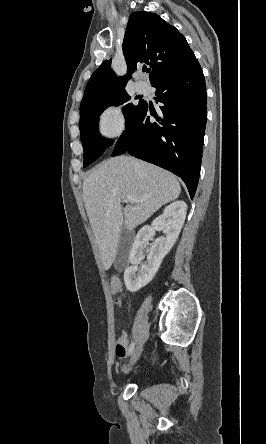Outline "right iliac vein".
Segmentation results:
<instances>
[{"label": "right iliac vein", "mask_w": 266, "mask_h": 444, "mask_svg": "<svg viewBox=\"0 0 266 444\" xmlns=\"http://www.w3.org/2000/svg\"><path fill=\"white\" fill-rule=\"evenodd\" d=\"M142 349H143V345H142V344H138V345L136 346V348L134 349V351L132 352L131 359H130V362H129V367H130V368H131V367L137 362V360L139 359V357H140V355H141V353H142Z\"/></svg>", "instance_id": "right-iliac-vein-1"}]
</instances>
